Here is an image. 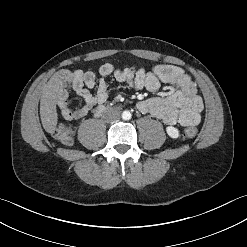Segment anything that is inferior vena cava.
Masks as SVG:
<instances>
[{
  "instance_id": "inferior-vena-cava-1",
  "label": "inferior vena cava",
  "mask_w": 247,
  "mask_h": 247,
  "mask_svg": "<svg viewBox=\"0 0 247 247\" xmlns=\"http://www.w3.org/2000/svg\"><path fill=\"white\" fill-rule=\"evenodd\" d=\"M104 118L108 122L117 121L120 119V113L117 110L110 109L104 114Z\"/></svg>"
}]
</instances>
